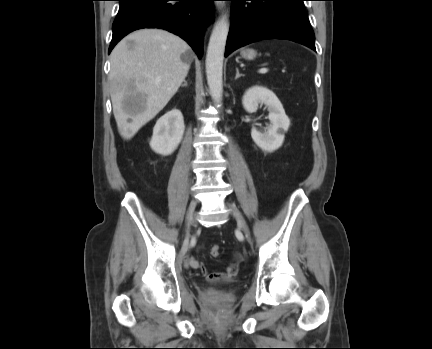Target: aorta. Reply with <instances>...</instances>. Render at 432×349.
Masks as SVG:
<instances>
[{
  "instance_id": "1",
  "label": "aorta",
  "mask_w": 432,
  "mask_h": 349,
  "mask_svg": "<svg viewBox=\"0 0 432 349\" xmlns=\"http://www.w3.org/2000/svg\"><path fill=\"white\" fill-rule=\"evenodd\" d=\"M228 32L229 20L225 13L213 27L205 60L210 94L218 106H221L223 96V59Z\"/></svg>"
}]
</instances>
